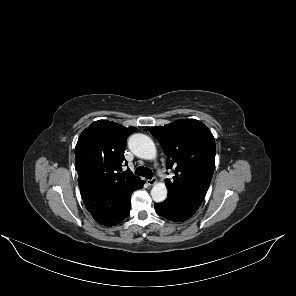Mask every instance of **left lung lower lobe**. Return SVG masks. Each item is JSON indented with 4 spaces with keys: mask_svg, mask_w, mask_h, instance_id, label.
Listing matches in <instances>:
<instances>
[{
    "mask_svg": "<svg viewBox=\"0 0 296 296\" xmlns=\"http://www.w3.org/2000/svg\"><path fill=\"white\" fill-rule=\"evenodd\" d=\"M199 201H185L167 197L163 203L155 205L156 212L175 222H182L190 218L199 208Z\"/></svg>",
    "mask_w": 296,
    "mask_h": 296,
    "instance_id": "1",
    "label": "left lung lower lobe"
}]
</instances>
